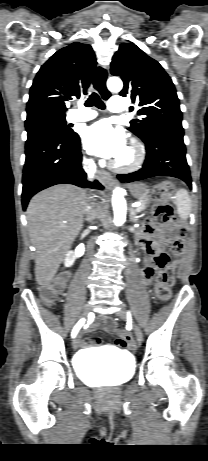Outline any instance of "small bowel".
Returning a JSON list of instances; mask_svg holds the SVG:
<instances>
[{
    "label": "small bowel",
    "instance_id": "small-bowel-1",
    "mask_svg": "<svg viewBox=\"0 0 208 461\" xmlns=\"http://www.w3.org/2000/svg\"><path fill=\"white\" fill-rule=\"evenodd\" d=\"M183 235L182 229H177L176 225H157L153 220H147L144 225V231L137 236L138 243L149 255L150 260L146 263L142 275L146 283H150L155 269L157 268L154 264V258L159 254L163 253L162 250L165 246L172 244L173 240ZM60 280L65 281L67 274H61ZM102 328L109 332L114 331V324L110 319H103L94 325L90 326L89 329ZM129 341V339H128ZM101 342L99 339L85 338L79 342L81 347H87L90 345H99ZM109 349L117 354L124 352V347L120 346L121 342L119 336H108Z\"/></svg>",
    "mask_w": 208,
    "mask_h": 461
}]
</instances>
